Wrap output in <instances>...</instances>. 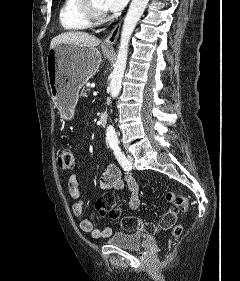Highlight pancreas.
Returning a JSON list of instances; mask_svg holds the SVG:
<instances>
[{
	"label": "pancreas",
	"instance_id": "1",
	"mask_svg": "<svg viewBox=\"0 0 240 281\" xmlns=\"http://www.w3.org/2000/svg\"><path fill=\"white\" fill-rule=\"evenodd\" d=\"M89 91H90L89 88L84 87V88L82 89L81 93H80V96H81V97H87L88 94H89Z\"/></svg>",
	"mask_w": 240,
	"mask_h": 281
}]
</instances>
